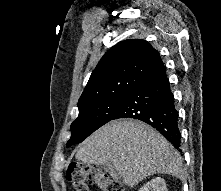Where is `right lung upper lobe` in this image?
<instances>
[{
	"label": "right lung upper lobe",
	"mask_w": 221,
	"mask_h": 191,
	"mask_svg": "<svg viewBox=\"0 0 221 191\" xmlns=\"http://www.w3.org/2000/svg\"><path fill=\"white\" fill-rule=\"evenodd\" d=\"M162 66L158 52L147 41L120 42L99 61L78 101V108L127 93Z\"/></svg>",
	"instance_id": "obj_1"
}]
</instances>
